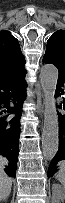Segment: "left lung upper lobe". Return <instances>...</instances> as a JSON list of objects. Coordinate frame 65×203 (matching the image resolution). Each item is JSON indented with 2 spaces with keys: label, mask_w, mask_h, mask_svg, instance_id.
<instances>
[{
  "label": "left lung upper lobe",
  "mask_w": 65,
  "mask_h": 203,
  "mask_svg": "<svg viewBox=\"0 0 65 203\" xmlns=\"http://www.w3.org/2000/svg\"><path fill=\"white\" fill-rule=\"evenodd\" d=\"M44 57L65 72V30L55 32L47 41Z\"/></svg>",
  "instance_id": "left-lung-upper-lobe-1"
}]
</instances>
